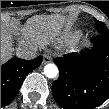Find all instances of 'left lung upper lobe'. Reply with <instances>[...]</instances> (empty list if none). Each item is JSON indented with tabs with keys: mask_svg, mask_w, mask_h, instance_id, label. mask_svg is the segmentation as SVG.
<instances>
[{
	"mask_svg": "<svg viewBox=\"0 0 109 109\" xmlns=\"http://www.w3.org/2000/svg\"><path fill=\"white\" fill-rule=\"evenodd\" d=\"M96 22V29L99 32V34L102 35H109V29L106 27V25L98 20H95Z\"/></svg>",
	"mask_w": 109,
	"mask_h": 109,
	"instance_id": "1",
	"label": "left lung upper lobe"
}]
</instances>
